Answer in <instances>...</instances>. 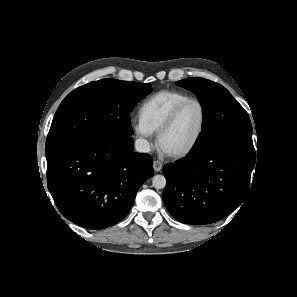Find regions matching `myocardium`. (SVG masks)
I'll use <instances>...</instances> for the list:
<instances>
[{
  "label": "myocardium",
  "mask_w": 297,
  "mask_h": 297,
  "mask_svg": "<svg viewBox=\"0 0 297 297\" xmlns=\"http://www.w3.org/2000/svg\"><path fill=\"white\" fill-rule=\"evenodd\" d=\"M190 103H196L200 107V110H201V122H200V126L198 128V131H197L195 137L193 138V140L190 142V144L187 147H185L184 149H182L180 151H176V152L164 151L161 147L162 137L164 136V134L167 131H169L172 128V126L175 124L178 116L180 115L181 111ZM206 124H207V111H206L204 104L199 99L190 97V98L182 101L181 103H179L173 109V111L170 113V115L167 117V119L164 121V123L160 126V128L157 131V135H156L157 145L169 157L175 158V159L183 158V157L187 156L188 154H190L195 149V147L198 145V143H199L200 139L202 138L203 133L205 131Z\"/></svg>",
  "instance_id": "1"
}]
</instances>
